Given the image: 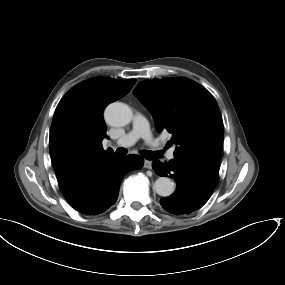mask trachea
Listing matches in <instances>:
<instances>
[{"mask_svg": "<svg viewBox=\"0 0 285 285\" xmlns=\"http://www.w3.org/2000/svg\"><path fill=\"white\" fill-rule=\"evenodd\" d=\"M126 154H127V150L124 148H118L116 150V155L118 157L125 156ZM141 155L147 160H153V159L159 158L161 156V152L144 150V151H141Z\"/></svg>", "mask_w": 285, "mask_h": 285, "instance_id": "1", "label": "trachea"}]
</instances>
